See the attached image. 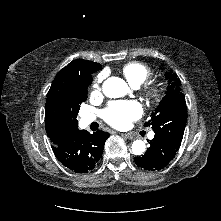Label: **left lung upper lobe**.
<instances>
[{
	"instance_id": "left-lung-upper-lobe-1",
	"label": "left lung upper lobe",
	"mask_w": 221,
	"mask_h": 221,
	"mask_svg": "<svg viewBox=\"0 0 221 221\" xmlns=\"http://www.w3.org/2000/svg\"><path fill=\"white\" fill-rule=\"evenodd\" d=\"M165 76L169 82L166 95L145 126H152L155 134L174 137L182 141L187 121L185 96L180 89L181 82L177 75L171 71Z\"/></svg>"
}]
</instances>
